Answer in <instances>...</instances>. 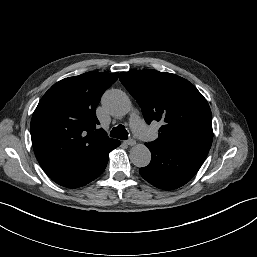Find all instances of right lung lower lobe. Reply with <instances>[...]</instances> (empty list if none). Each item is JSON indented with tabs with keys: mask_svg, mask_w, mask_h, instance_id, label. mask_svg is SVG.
I'll list each match as a JSON object with an SVG mask.
<instances>
[{
	"mask_svg": "<svg viewBox=\"0 0 257 257\" xmlns=\"http://www.w3.org/2000/svg\"><path fill=\"white\" fill-rule=\"evenodd\" d=\"M119 145L120 142L118 140H114V142H112V144L104 152L86 163L77 171L57 175L51 177V179L57 184L67 188H77L84 186L101 175L108 163L109 152Z\"/></svg>",
	"mask_w": 257,
	"mask_h": 257,
	"instance_id": "1",
	"label": "right lung lower lobe"
}]
</instances>
